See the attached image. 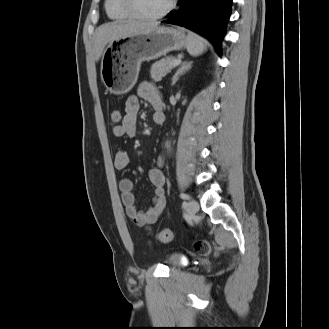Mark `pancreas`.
I'll list each match as a JSON object with an SVG mask.
<instances>
[{"instance_id":"1","label":"pancreas","mask_w":329,"mask_h":329,"mask_svg":"<svg viewBox=\"0 0 329 329\" xmlns=\"http://www.w3.org/2000/svg\"><path fill=\"white\" fill-rule=\"evenodd\" d=\"M175 57H166L152 64L150 75L154 81H161V79L171 71Z\"/></svg>"}]
</instances>
